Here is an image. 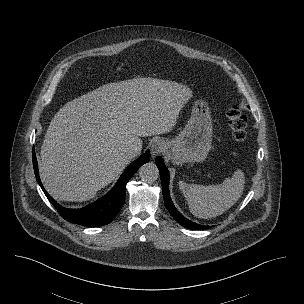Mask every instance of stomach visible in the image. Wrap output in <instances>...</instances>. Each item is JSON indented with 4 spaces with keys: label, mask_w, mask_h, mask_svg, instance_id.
<instances>
[{
    "label": "stomach",
    "mask_w": 304,
    "mask_h": 304,
    "mask_svg": "<svg viewBox=\"0 0 304 304\" xmlns=\"http://www.w3.org/2000/svg\"><path fill=\"white\" fill-rule=\"evenodd\" d=\"M212 137L213 125L209 106L204 100H197L184 129L168 141L172 161L176 164L202 162L211 149Z\"/></svg>",
    "instance_id": "obj_1"
}]
</instances>
